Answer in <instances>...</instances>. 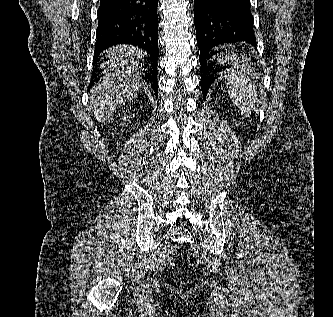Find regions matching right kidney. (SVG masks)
<instances>
[{"mask_svg":"<svg viewBox=\"0 0 333 317\" xmlns=\"http://www.w3.org/2000/svg\"><path fill=\"white\" fill-rule=\"evenodd\" d=\"M126 118H130V116H129V117H128V116H124L123 120L125 121V120H126Z\"/></svg>","mask_w":333,"mask_h":317,"instance_id":"obj_1","label":"right kidney"}]
</instances>
